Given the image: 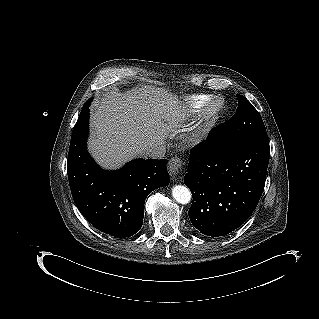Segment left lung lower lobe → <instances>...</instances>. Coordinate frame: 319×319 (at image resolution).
Masks as SVG:
<instances>
[{"mask_svg": "<svg viewBox=\"0 0 319 319\" xmlns=\"http://www.w3.org/2000/svg\"><path fill=\"white\" fill-rule=\"evenodd\" d=\"M219 127L191 149L184 177L193 195L191 223L209 237L227 235L250 217L264 189L270 157L268 139L217 142Z\"/></svg>", "mask_w": 319, "mask_h": 319, "instance_id": "obj_1", "label": "left lung lower lobe"}]
</instances>
